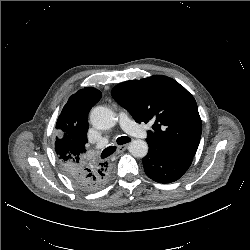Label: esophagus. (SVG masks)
Masks as SVG:
<instances>
[{"label":"esophagus","mask_w":250,"mask_h":250,"mask_svg":"<svg viewBox=\"0 0 250 250\" xmlns=\"http://www.w3.org/2000/svg\"><path fill=\"white\" fill-rule=\"evenodd\" d=\"M127 148H128V144L121 145V146L118 147L117 153H118V154H119V153H122V152H124Z\"/></svg>","instance_id":"1"}]
</instances>
